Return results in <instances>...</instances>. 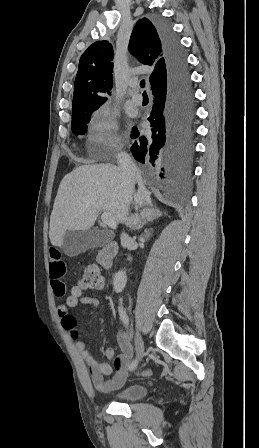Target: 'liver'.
Wrapping results in <instances>:
<instances>
[{"mask_svg":"<svg viewBox=\"0 0 259 448\" xmlns=\"http://www.w3.org/2000/svg\"><path fill=\"white\" fill-rule=\"evenodd\" d=\"M134 202L138 208L147 204L140 214L128 216V206ZM153 206L151 192L144 182H138L135 194L122 186L120 170L113 164L80 166L63 178L55 198L49 228L52 246L61 248L66 230L86 232L94 226L99 212L112 214L116 222L136 228L140 222H152L161 216ZM137 210V208H136Z\"/></svg>","mask_w":259,"mask_h":448,"instance_id":"1","label":"liver"}]
</instances>
